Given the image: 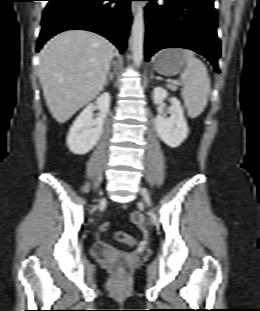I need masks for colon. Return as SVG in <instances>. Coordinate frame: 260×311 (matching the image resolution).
<instances>
[{
    "mask_svg": "<svg viewBox=\"0 0 260 311\" xmlns=\"http://www.w3.org/2000/svg\"><path fill=\"white\" fill-rule=\"evenodd\" d=\"M110 227V223L109 222H104L102 225H101V230L103 232H106ZM115 240L118 241V242H121V243H125L129 246H133L135 245L136 243V240L134 237H132L131 235L125 233V232H122V231H119L115 234L114 236ZM121 267V266H119Z\"/></svg>",
    "mask_w": 260,
    "mask_h": 311,
    "instance_id": "colon-1",
    "label": "colon"
}]
</instances>
